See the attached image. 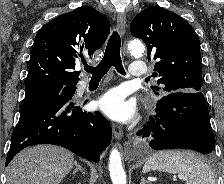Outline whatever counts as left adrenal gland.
Here are the masks:
<instances>
[{
    "instance_id": "left-adrenal-gland-1",
    "label": "left adrenal gland",
    "mask_w": 224,
    "mask_h": 184,
    "mask_svg": "<svg viewBox=\"0 0 224 184\" xmlns=\"http://www.w3.org/2000/svg\"><path fill=\"white\" fill-rule=\"evenodd\" d=\"M147 181L144 179V177L141 178V183L140 184H145Z\"/></svg>"
}]
</instances>
